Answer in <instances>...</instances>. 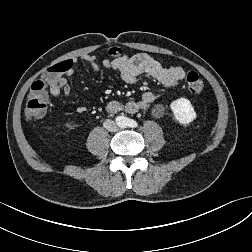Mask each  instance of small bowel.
<instances>
[{
    "label": "small bowel",
    "mask_w": 252,
    "mask_h": 252,
    "mask_svg": "<svg viewBox=\"0 0 252 252\" xmlns=\"http://www.w3.org/2000/svg\"><path fill=\"white\" fill-rule=\"evenodd\" d=\"M77 61L89 63L96 71L98 68V59L95 55L83 54L73 60L65 61L69 68L64 73L69 76L73 73V64ZM103 67L107 70H115L120 73L122 80L128 84H134L139 79L147 75L164 86L173 87L185 78V71L181 67L171 66L163 67L157 60L143 53L132 56H119L116 59L104 60ZM71 86L65 78H60L57 84L50 86L49 93L53 96L60 94L69 95ZM155 100L152 92H145L138 101H129L125 104L124 109L128 113L146 111Z\"/></svg>",
    "instance_id": "small-bowel-1"
}]
</instances>
